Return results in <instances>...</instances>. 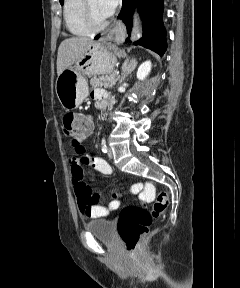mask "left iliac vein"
Instances as JSON below:
<instances>
[{
  "mask_svg": "<svg viewBox=\"0 0 240 288\" xmlns=\"http://www.w3.org/2000/svg\"><path fill=\"white\" fill-rule=\"evenodd\" d=\"M114 156L113 151L111 149L108 150V157L112 159Z\"/></svg>",
  "mask_w": 240,
  "mask_h": 288,
  "instance_id": "4c4485c4",
  "label": "left iliac vein"
}]
</instances>
